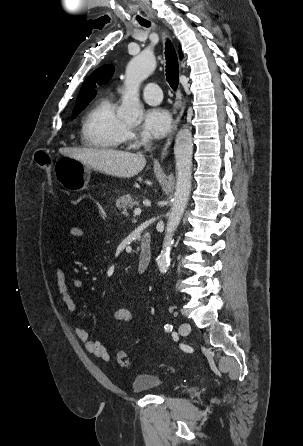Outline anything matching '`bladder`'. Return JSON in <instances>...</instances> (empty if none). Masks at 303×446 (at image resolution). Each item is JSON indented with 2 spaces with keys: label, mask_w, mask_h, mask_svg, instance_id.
Wrapping results in <instances>:
<instances>
[{
  "label": "bladder",
  "mask_w": 303,
  "mask_h": 446,
  "mask_svg": "<svg viewBox=\"0 0 303 446\" xmlns=\"http://www.w3.org/2000/svg\"><path fill=\"white\" fill-rule=\"evenodd\" d=\"M163 385V380L155 374H139L132 382V389L135 393L151 392L159 389Z\"/></svg>",
  "instance_id": "31cf9c89"
}]
</instances>
